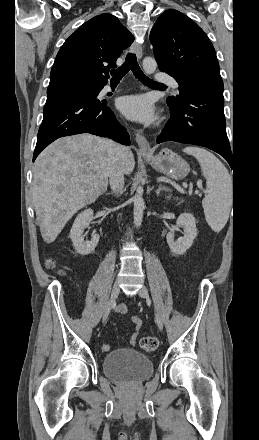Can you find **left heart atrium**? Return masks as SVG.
<instances>
[{"label":"left heart atrium","mask_w":259,"mask_h":440,"mask_svg":"<svg viewBox=\"0 0 259 440\" xmlns=\"http://www.w3.org/2000/svg\"><path fill=\"white\" fill-rule=\"evenodd\" d=\"M118 108L128 118L139 122H152L156 117L154 104L145 94L122 97L118 101Z\"/></svg>","instance_id":"1"}]
</instances>
